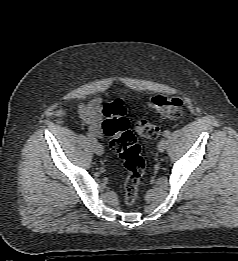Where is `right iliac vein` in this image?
Instances as JSON below:
<instances>
[{
  "instance_id": "obj_1",
  "label": "right iliac vein",
  "mask_w": 238,
  "mask_h": 261,
  "mask_svg": "<svg viewBox=\"0 0 238 261\" xmlns=\"http://www.w3.org/2000/svg\"><path fill=\"white\" fill-rule=\"evenodd\" d=\"M93 149L97 155H102L104 152L102 145L97 141L93 142Z\"/></svg>"
}]
</instances>
